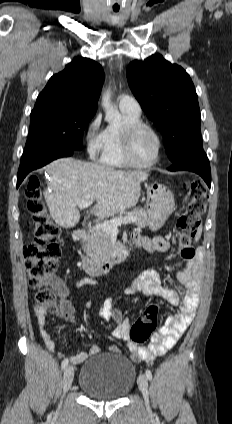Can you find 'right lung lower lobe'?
Listing matches in <instances>:
<instances>
[{"label":"right lung lower lobe","instance_id":"right-lung-lower-lobe-1","mask_svg":"<svg viewBox=\"0 0 232 424\" xmlns=\"http://www.w3.org/2000/svg\"><path fill=\"white\" fill-rule=\"evenodd\" d=\"M76 150L72 149H45L35 152L27 159L21 160L18 175H17V187L21 184L26 175L37 168L48 164L49 162L71 156Z\"/></svg>","mask_w":232,"mask_h":424}]
</instances>
